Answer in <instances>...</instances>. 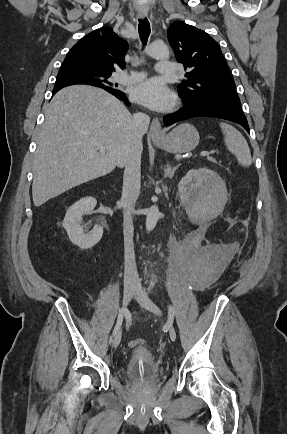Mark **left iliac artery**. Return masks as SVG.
<instances>
[{"label": "left iliac artery", "instance_id": "44dca946", "mask_svg": "<svg viewBox=\"0 0 287 434\" xmlns=\"http://www.w3.org/2000/svg\"><path fill=\"white\" fill-rule=\"evenodd\" d=\"M151 286L154 287V281H151ZM168 314H169L170 318L174 317V315H175V310L170 305L168 306Z\"/></svg>", "mask_w": 287, "mask_h": 434}]
</instances>
